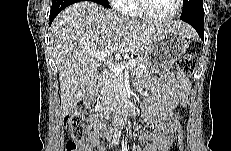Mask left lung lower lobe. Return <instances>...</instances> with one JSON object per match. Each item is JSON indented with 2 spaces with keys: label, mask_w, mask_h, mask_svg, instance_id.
<instances>
[{
  "label": "left lung lower lobe",
  "mask_w": 231,
  "mask_h": 151,
  "mask_svg": "<svg viewBox=\"0 0 231 151\" xmlns=\"http://www.w3.org/2000/svg\"><path fill=\"white\" fill-rule=\"evenodd\" d=\"M180 19L182 21H185L192 25L194 29L197 31L201 39L204 41V31H203V25H204V11H194L191 15L188 16H180Z\"/></svg>",
  "instance_id": "1"
}]
</instances>
